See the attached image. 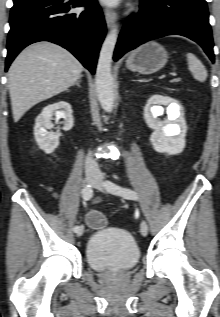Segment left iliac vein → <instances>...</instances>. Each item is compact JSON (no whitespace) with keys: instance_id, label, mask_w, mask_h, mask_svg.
I'll list each match as a JSON object with an SVG mask.
<instances>
[{"instance_id":"4c4485c4","label":"left iliac vein","mask_w":220,"mask_h":317,"mask_svg":"<svg viewBox=\"0 0 220 317\" xmlns=\"http://www.w3.org/2000/svg\"><path fill=\"white\" fill-rule=\"evenodd\" d=\"M93 186L102 192L108 191L106 186H105V183L102 180L101 174H98L97 179L94 182ZM140 232L143 236H147V234H148V225L145 221H142L140 224Z\"/></svg>"}]
</instances>
